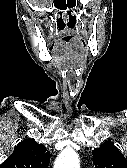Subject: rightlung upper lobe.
<instances>
[{
    "label": "right lung upper lobe",
    "mask_w": 127,
    "mask_h": 168,
    "mask_svg": "<svg viewBox=\"0 0 127 168\" xmlns=\"http://www.w3.org/2000/svg\"><path fill=\"white\" fill-rule=\"evenodd\" d=\"M50 155L44 145L32 139L21 141L0 168H47Z\"/></svg>",
    "instance_id": "cb5924a9"
}]
</instances>
